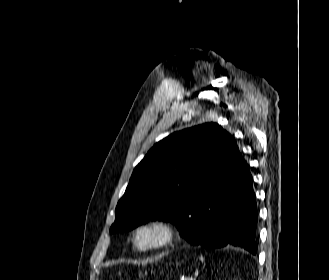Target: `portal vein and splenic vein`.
<instances>
[{
    "mask_svg": "<svg viewBox=\"0 0 329 280\" xmlns=\"http://www.w3.org/2000/svg\"><path fill=\"white\" fill-rule=\"evenodd\" d=\"M185 280H193V278H186Z\"/></svg>",
    "mask_w": 329,
    "mask_h": 280,
    "instance_id": "obj_1",
    "label": "portal vein and splenic vein"
}]
</instances>
